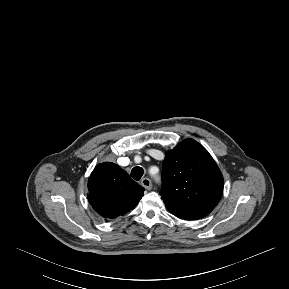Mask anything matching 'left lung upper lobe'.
<instances>
[{
  "mask_svg": "<svg viewBox=\"0 0 289 289\" xmlns=\"http://www.w3.org/2000/svg\"><path fill=\"white\" fill-rule=\"evenodd\" d=\"M160 195L167 209L191 220L208 215L223 193V176L208 151L186 139L167 152L162 164Z\"/></svg>",
  "mask_w": 289,
  "mask_h": 289,
  "instance_id": "5c2ea615",
  "label": "left lung upper lobe"
}]
</instances>
